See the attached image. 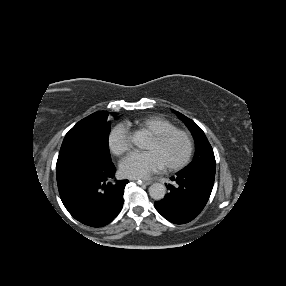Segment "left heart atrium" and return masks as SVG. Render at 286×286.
<instances>
[{
	"instance_id": "obj_1",
	"label": "left heart atrium",
	"mask_w": 286,
	"mask_h": 286,
	"mask_svg": "<svg viewBox=\"0 0 286 286\" xmlns=\"http://www.w3.org/2000/svg\"><path fill=\"white\" fill-rule=\"evenodd\" d=\"M122 173L129 178H145L163 169L152 151L134 152L120 164Z\"/></svg>"
}]
</instances>
